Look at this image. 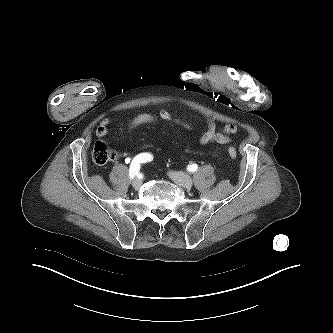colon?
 <instances>
[{
    "label": "colon",
    "instance_id": "1",
    "mask_svg": "<svg viewBox=\"0 0 333 333\" xmlns=\"http://www.w3.org/2000/svg\"><path fill=\"white\" fill-rule=\"evenodd\" d=\"M164 121L159 115L152 113H139L135 115L128 124L129 131L145 124H153ZM228 153L231 159L236 158V150L234 147L228 148ZM118 156L117 151L111 149L105 142L97 141L92 151V160L95 164L103 166L113 161Z\"/></svg>",
    "mask_w": 333,
    "mask_h": 333
}]
</instances>
